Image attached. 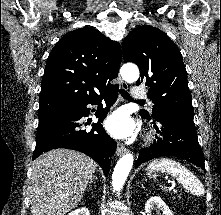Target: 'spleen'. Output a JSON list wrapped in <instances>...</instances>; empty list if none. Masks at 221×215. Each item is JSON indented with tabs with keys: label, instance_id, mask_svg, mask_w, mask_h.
<instances>
[{
	"label": "spleen",
	"instance_id": "obj_1",
	"mask_svg": "<svg viewBox=\"0 0 221 215\" xmlns=\"http://www.w3.org/2000/svg\"><path fill=\"white\" fill-rule=\"evenodd\" d=\"M148 168L168 172L176 177L180 184L190 191L191 194L202 196L205 192L200 180L190 170L175 160L170 158L155 159L149 164ZM162 188L166 189L163 186Z\"/></svg>",
	"mask_w": 221,
	"mask_h": 215
}]
</instances>
